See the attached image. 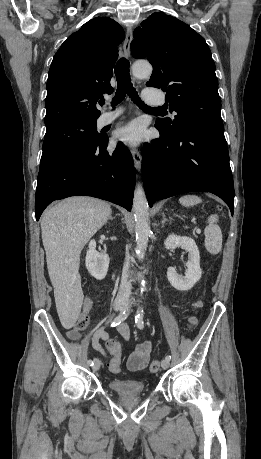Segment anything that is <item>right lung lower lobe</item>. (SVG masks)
I'll use <instances>...</instances> for the list:
<instances>
[{
  "mask_svg": "<svg viewBox=\"0 0 261 459\" xmlns=\"http://www.w3.org/2000/svg\"><path fill=\"white\" fill-rule=\"evenodd\" d=\"M108 137L88 148L61 155L40 166L35 196L36 220L54 200L75 195L104 199L131 211L135 172L129 150L119 143L113 153Z\"/></svg>",
  "mask_w": 261,
  "mask_h": 459,
  "instance_id": "1",
  "label": "right lung lower lobe"
}]
</instances>
